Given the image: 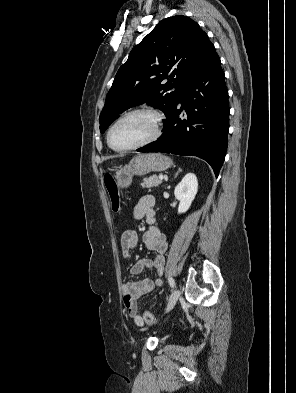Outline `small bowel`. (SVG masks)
Returning a JSON list of instances; mask_svg holds the SVG:
<instances>
[{"instance_id": "small-bowel-1", "label": "small bowel", "mask_w": 296, "mask_h": 393, "mask_svg": "<svg viewBox=\"0 0 296 393\" xmlns=\"http://www.w3.org/2000/svg\"><path fill=\"white\" fill-rule=\"evenodd\" d=\"M135 219H146L149 227L142 235V241L147 249L155 251L157 255L153 258H142L131 268V274L137 275L145 268L154 269L153 278H145L139 281L126 282L122 285L123 303L127 314L133 322L139 326L144 325L143 318L138 314L137 301L155 287L161 286L164 271V254L168 249V242L165 235L155 225L156 212L154 209V199L151 196H144L135 205L132 211ZM138 236L135 230H125L120 239L123 256L129 259L131 251L137 247Z\"/></svg>"}]
</instances>
